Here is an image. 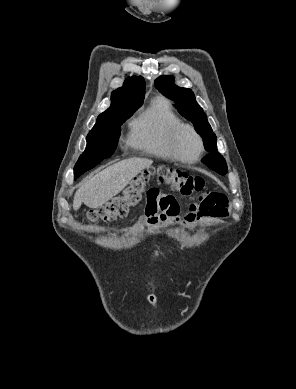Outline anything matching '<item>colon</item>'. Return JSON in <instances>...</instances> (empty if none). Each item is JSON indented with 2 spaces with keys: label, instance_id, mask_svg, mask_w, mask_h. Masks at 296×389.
I'll use <instances>...</instances> for the list:
<instances>
[{
  "label": "colon",
  "instance_id": "5ec220e1",
  "mask_svg": "<svg viewBox=\"0 0 296 389\" xmlns=\"http://www.w3.org/2000/svg\"><path fill=\"white\" fill-rule=\"evenodd\" d=\"M154 177L161 184L168 185L185 197L195 193H206V182L202 177L160 165L145 170L132 180L120 195L112 198L106 204L90 210L86 215L87 220L90 222H107L125 217L129 209L141 200L146 185Z\"/></svg>",
  "mask_w": 296,
  "mask_h": 389
}]
</instances>
